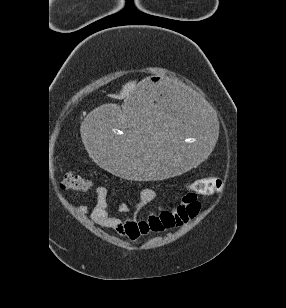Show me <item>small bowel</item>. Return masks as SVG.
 <instances>
[{
  "label": "small bowel",
  "mask_w": 286,
  "mask_h": 308,
  "mask_svg": "<svg viewBox=\"0 0 286 308\" xmlns=\"http://www.w3.org/2000/svg\"><path fill=\"white\" fill-rule=\"evenodd\" d=\"M194 184L181 197L179 205L175 208L152 213L146 218H142L139 211L155 199L156 192L152 188H143L139 191L138 198L133 205L135 213L130 218H121L109 213L106 204L108 191L105 187L96 188L95 206L91 208L87 205H80L76 210L79 213L89 212L93 223L108 227L120 236L136 242L151 233H160L167 229L181 227L192 220L201 209L198 193L193 189ZM117 211L126 214L130 211V206L121 202L117 206Z\"/></svg>",
  "instance_id": "obj_1"
}]
</instances>
